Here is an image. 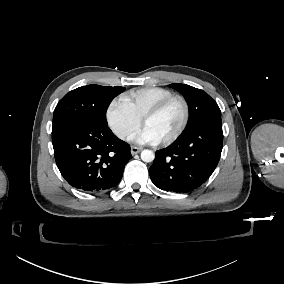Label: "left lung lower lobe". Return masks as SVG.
<instances>
[{
  "label": "left lung lower lobe",
  "mask_w": 284,
  "mask_h": 284,
  "mask_svg": "<svg viewBox=\"0 0 284 284\" xmlns=\"http://www.w3.org/2000/svg\"><path fill=\"white\" fill-rule=\"evenodd\" d=\"M222 145V123L208 122L187 129L169 147L156 152L150 178L162 190L191 192L215 170Z\"/></svg>",
  "instance_id": "0a47b994"
}]
</instances>
